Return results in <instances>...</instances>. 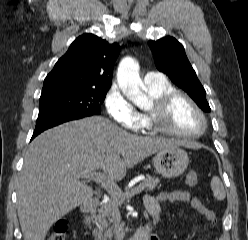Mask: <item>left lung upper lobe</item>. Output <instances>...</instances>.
I'll return each mask as SVG.
<instances>
[{"label": "left lung upper lobe", "instance_id": "obj_1", "mask_svg": "<svg viewBox=\"0 0 248 240\" xmlns=\"http://www.w3.org/2000/svg\"><path fill=\"white\" fill-rule=\"evenodd\" d=\"M148 44L157 69L186 91L202 110L210 112L206 91L188 61L182 44L170 36L149 41Z\"/></svg>", "mask_w": 248, "mask_h": 240}]
</instances>
